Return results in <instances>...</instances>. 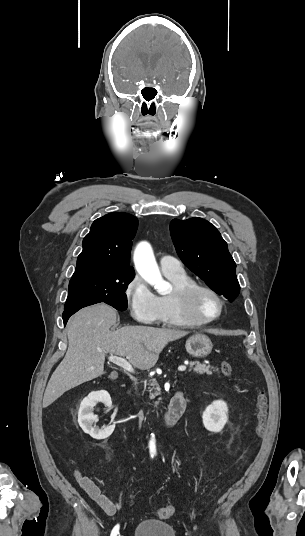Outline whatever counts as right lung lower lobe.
<instances>
[{"instance_id": "1", "label": "right lung lower lobe", "mask_w": 305, "mask_h": 536, "mask_svg": "<svg viewBox=\"0 0 305 536\" xmlns=\"http://www.w3.org/2000/svg\"><path fill=\"white\" fill-rule=\"evenodd\" d=\"M79 309H81V308L70 309V310H64V312H63V321H64V325H66L67 320L69 319V317H70L71 315H73L75 312H77Z\"/></svg>"}]
</instances>
